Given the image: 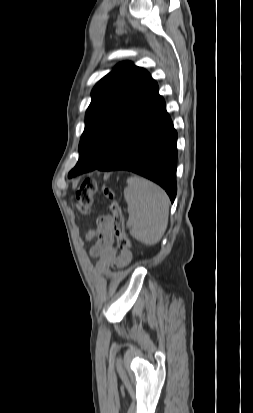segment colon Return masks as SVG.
I'll return each instance as SVG.
<instances>
[{"label":"colon","mask_w":253,"mask_h":413,"mask_svg":"<svg viewBox=\"0 0 253 413\" xmlns=\"http://www.w3.org/2000/svg\"><path fill=\"white\" fill-rule=\"evenodd\" d=\"M99 188V183L94 178L85 179L76 191L75 200L78 210L87 215L90 213L94 194ZM104 195L111 201V223L112 232L116 238V243L121 251H129L131 247V240L125 231V220L122 213V209L118 201L116 200L115 193L108 187H102Z\"/></svg>","instance_id":"colon-1"}]
</instances>
